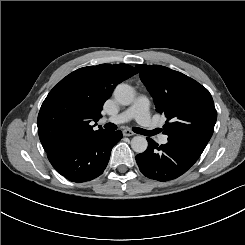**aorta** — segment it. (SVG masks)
Here are the masks:
<instances>
[{
  "instance_id": "1",
  "label": "aorta",
  "mask_w": 245,
  "mask_h": 245,
  "mask_svg": "<svg viewBox=\"0 0 245 245\" xmlns=\"http://www.w3.org/2000/svg\"><path fill=\"white\" fill-rule=\"evenodd\" d=\"M114 97L121 105H130L134 100L133 88L127 84H119L114 90ZM131 147L136 153H143L148 147V142L143 136H135L131 140Z\"/></svg>"
}]
</instances>
